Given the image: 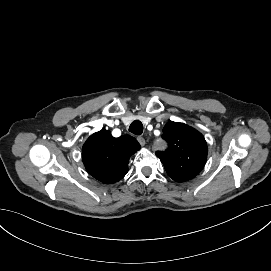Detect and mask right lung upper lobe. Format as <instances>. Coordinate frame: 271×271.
<instances>
[{
    "label": "right lung upper lobe",
    "mask_w": 271,
    "mask_h": 271,
    "mask_svg": "<svg viewBox=\"0 0 271 271\" xmlns=\"http://www.w3.org/2000/svg\"><path fill=\"white\" fill-rule=\"evenodd\" d=\"M140 149L138 141L129 135L112 137L101 130L88 138L82 148V159L87 171L104 183H115L128 172L131 155Z\"/></svg>",
    "instance_id": "right-lung-upper-lobe-1"
}]
</instances>
